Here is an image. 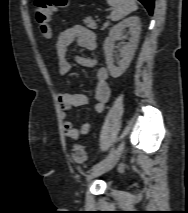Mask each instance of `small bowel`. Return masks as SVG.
Segmentation results:
<instances>
[{"label":"small bowel","instance_id":"obj_1","mask_svg":"<svg viewBox=\"0 0 188 213\" xmlns=\"http://www.w3.org/2000/svg\"><path fill=\"white\" fill-rule=\"evenodd\" d=\"M77 42L86 50L96 49L97 42L94 33L81 25H72L65 28L59 35L56 43L57 65L60 74L65 75L71 69V64L67 59L68 47ZM78 63L84 67L96 68L97 84L95 88V112L102 113L109 101L111 89L108 84V71L104 66H99L97 60L92 58L79 57ZM58 102L62 109L63 128L67 138L80 140L82 136L88 135L92 128V123L82 124L80 129L76 128L67 118V112L72 108L82 107L88 104V97L82 93L61 92L58 94Z\"/></svg>","mask_w":188,"mask_h":213}]
</instances>
